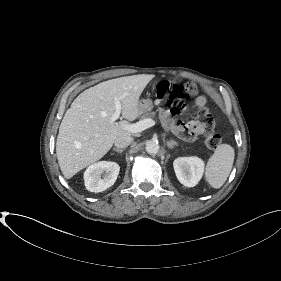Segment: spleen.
<instances>
[{"label":"spleen","mask_w":281,"mask_h":281,"mask_svg":"<svg viewBox=\"0 0 281 281\" xmlns=\"http://www.w3.org/2000/svg\"><path fill=\"white\" fill-rule=\"evenodd\" d=\"M234 156L232 146L228 144L217 146L205 169V178L211 187L218 189L223 186L232 170Z\"/></svg>","instance_id":"obj_1"}]
</instances>
